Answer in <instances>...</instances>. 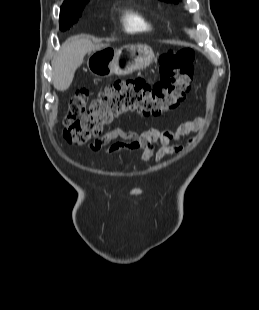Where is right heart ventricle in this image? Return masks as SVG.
I'll list each match as a JSON object with an SVG mask.
<instances>
[{"label":"right heart ventricle","mask_w":259,"mask_h":310,"mask_svg":"<svg viewBox=\"0 0 259 310\" xmlns=\"http://www.w3.org/2000/svg\"><path fill=\"white\" fill-rule=\"evenodd\" d=\"M123 24L129 32H147L153 29L152 22L140 12L134 10L125 12Z\"/></svg>","instance_id":"obj_1"}]
</instances>
